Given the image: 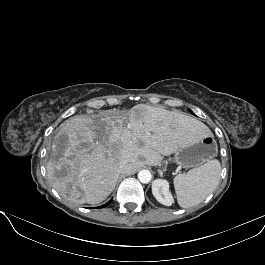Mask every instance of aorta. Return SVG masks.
<instances>
[{
    "label": "aorta",
    "instance_id": "aorta-1",
    "mask_svg": "<svg viewBox=\"0 0 265 265\" xmlns=\"http://www.w3.org/2000/svg\"><path fill=\"white\" fill-rule=\"evenodd\" d=\"M138 179L141 183H149L152 179L151 172L149 170H141L138 173Z\"/></svg>",
    "mask_w": 265,
    "mask_h": 265
}]
</instances>
